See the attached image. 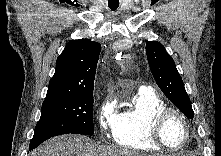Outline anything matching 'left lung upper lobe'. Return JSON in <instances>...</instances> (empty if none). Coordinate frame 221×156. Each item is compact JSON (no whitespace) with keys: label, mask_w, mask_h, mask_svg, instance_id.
Returning a JSON list of instances; mask_svg holds the SVG:
<instances>
[{"label":"left lung upper lobe","mask_w":221,"mask_h":156,"mask_svg":"<svg viewBox=\"0 0 221 156\" xmlns=\"http://www.w3.org/2000/svg\"><path fill=\"white\" fill-rule=\"evenodd\" d=\"M146 54L151 72L159 88L187 118L193 119L194 112L190 98L172 57L157 41L147 42Z\"/></svg>","instance_id":"obj_1"}]
</instances>
